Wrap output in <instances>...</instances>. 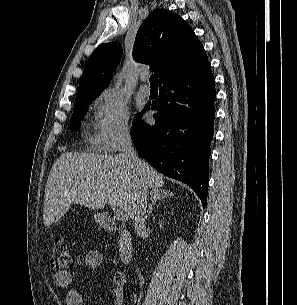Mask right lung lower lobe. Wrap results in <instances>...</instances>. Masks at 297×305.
<instances>
[{"label":"right lung lower lobe","instance_id":"98d812e1","mask_svg":"<svg viewBox=\"0 0 297 305\" xmlns=\"http://www.w3.org/2000/svg\"><path fill=\"white\" fill-rule=\"evenodd\" d=\"M159 92L151 105L157 111L155 123L138 116L131 130L133 142L141 157L162 174L189 185L205 207L216 97L210 64L160 84Z\"/></svg>","mask_w":297,"mask_h":305}]
</instances>
